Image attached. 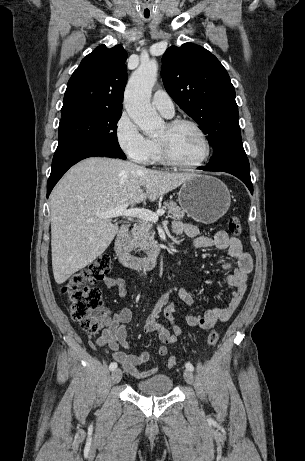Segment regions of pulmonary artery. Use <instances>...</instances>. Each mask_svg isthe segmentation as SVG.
I'll return each mask as SVG.
<instances>
[{
    "label": "pulmonary artery",
    "mask_w": 305,
    "mask_h": 461,
    "mask_svg": "<svg viewBox=\"0 0 305 461\" xmlns=\"http://www.w3.org/2000/svg\"><path fill=\"white\" fill-rule=\"evenodd\" d=\"M152 105L165 117L171 118L174 115V103L168 93L158 89L152 96Z\"/></svg>",
    "instance_id": "1"
}]
</instances>
